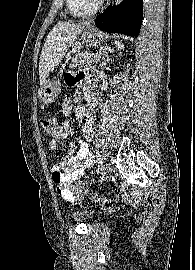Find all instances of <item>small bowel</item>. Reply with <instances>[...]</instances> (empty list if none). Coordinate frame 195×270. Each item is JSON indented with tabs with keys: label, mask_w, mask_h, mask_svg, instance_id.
Wrapping results in <instances>:
<instances>
[{
	"label": "small bowel",
	"mask_w": 195,
	"mask_h": 270,
	"mask_svg": "<svg viewBox=\"0 0 195 270\" xmlns=\"http://www.w3.org/2000/svg\"><path fill=\"white\" fill-rule=\"evenodd\" d=\"M66 83L69 86H75L78 83H88L91 75L84 72H69L66 75ZM86 103L75 109V116L80 124L82 136L77 142L71 143L67 154L62 161L54 164L52 168V179L57 187L58 194L67 201H75L79 198L73 191L74 182L85 175L87 168L93 164V156L90 152L89 144L94 137L93 121L95 119V106L97 104V95L94 91L86 93ZM62 112L65 117H69L73 112V100L66 97L62 103ZM70 123L68 120L58 124L51 132L52 139L49 142V148L56 150L61 140L68 137Z\"/></svg>",
	"instance_id": "1"
}]
</instances>
